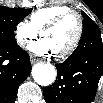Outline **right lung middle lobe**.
Masks as SVG:
<instances>
[{"label":"right lung middle lobe","mask_w":103,"mask_h":103,"mask_svg":"<svg viewBox=\"0 0 103 103\" xmlns=\"http://www.w3.org/2000/svg\"><path fill=\"white\" fill-rule=\"evenodd\" d=\"M31 11L32 9L0 7V42L16 43L15 27Z\"/></svg>","instance_id":"1"}]
</instances>
